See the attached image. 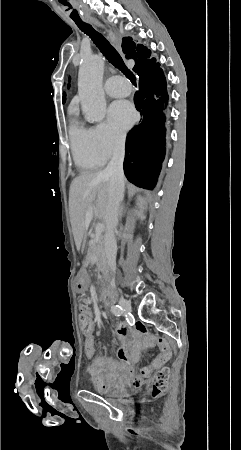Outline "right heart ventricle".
I'll use <instances>...</instances> for the list:
<instances>
[{"label":"right heart ventricle","mask_w":241,"mask_h":450,"mask_svg":"<svg viewBox=\"0 0 241 450\" xmlns=\"http://www.w3.org/2000/svg\"><path fill=\"white\" fill-rule=\"evenodd\" d=\"M92 131L96 128L87 127L76 120L69 126V139L75 163L81 168H95L102 166L105 160L94 152Z\"/></svg>","instance_id":"right-heart-ventricle-1"}]
</instances>
